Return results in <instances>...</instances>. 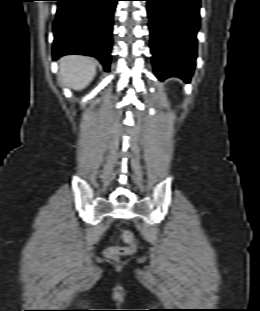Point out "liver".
<instances>
[{"label":"liver","mask_w":260,"mask_h":311,"mask_svg":"<svg viewBox=\"0 0 260 311\" xmlns=\"http://www.w3.org/2000/svg\"><path fill=\"white\" fill-rule=\"evenodd\" d=\"M60 82L74 90H82L96 75V60L81 55H68L60 59Z\"/></svg>","instance_id":"6515ba94"}]
</instances>
